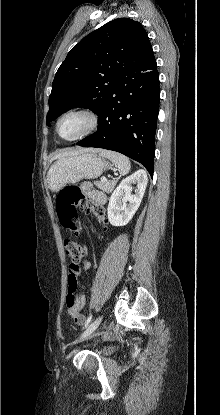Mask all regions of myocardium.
I'll return each mask as SVG.
<instances>
[{"instance_id":"1","label":"myocardium","mask_w":220,"mask_h":415,"mask_svg":"<svg viewBox=\"0 0 220 415\" xmlns=\"http://www.w3.org/2000/svg\"><path fill=\"white\" fill-rule=\"evenodd\" d=\"M82 115L84 117L87 118L88 120V126L87 128L81 132L80 134L72 137V138H63L60 136L59 134V124L60 122L67 116L69 115ZM100 126V118L99 115L97 114L96 111H94L91 108L88 107H76V108H72L69 109L67 111H65L64 113H62L56 120L55 122V133L57 134V136L59 138H61L62 140L68 141V142H72V141H76V140H80L82 138H85L91 134H93Z\"/></svg>"}]
</instances>
